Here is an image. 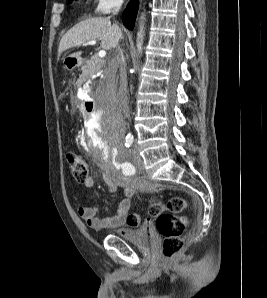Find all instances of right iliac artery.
Returning <instances> with one entry per match:
<instances>
[{"instance_id": "82829eb1", "label": "right iliac artery", "mask_w": 267, "mask_h": 298, "mask_svg": "<svg viewBox=\"0 0 267 298\" xmlns=\"http://www.w3.org/2000/svg\"><path fill=\"white\" fill-rule=\"evenodd\" d=\"M134 138L131 135L126 136L125 146L130 147L133 144Z\"/></svg>"}]
</instances>
